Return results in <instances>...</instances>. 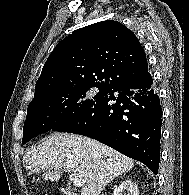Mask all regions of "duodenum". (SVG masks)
<instances>
[{
	"instance_id": "1",
	"label": "duodenum",
	"mask_w": 189,
	"mask_h": 195,
	"mask_svg": "<svg viewBox=\"0 0 189 195\" xmlns=\"http://www.w3.org/2000/svg\"><path fill=\"white\" fill-rule=\"evenodd\" d=\"M66 195H77V194H74V193H67Z\"/></svg>"
}]
</instances>
